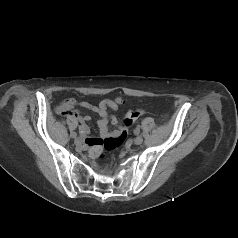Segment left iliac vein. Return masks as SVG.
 Returning a JSON list of instances; mask_svg holds the SVG:
<instances>
[{"label": "left iliac vein", "mask_w": 238, "mask_h": 238, "mask_svg": "<svg viewBox=\"0 0 238 238\" xmlns=\"http://www.w3.org/2000/svg\"><path fill=\"white\" fill-rule=\"evenodd\" d=\"M142 142H143V138L141 136H137L134 139V144H136V145H140V144H142Z\"/></svg>", "instance_id": "left-iliac-vein-1"}]
</instances>
